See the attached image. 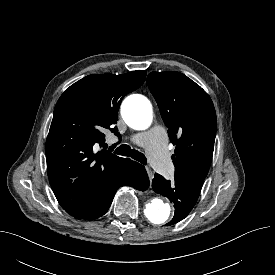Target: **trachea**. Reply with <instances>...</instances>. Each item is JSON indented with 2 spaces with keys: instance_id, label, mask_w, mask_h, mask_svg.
I'll return each instance as SVG.
<instances>
[{
  "instance_id": "1",
  "label": "trachea",
  "mask_w": 275,
  "mask_h": 275,
  "mask_svg": "<svg viewBox=\"0 0 275 275\" xmlns=\"http://www.w3.org/2000/svg\"><path fill=\"white\" fill-rule=\"evenodd\" d=\"M115 154L122 155V156H128L133 158L134 160L146 165L147 164V159L145 155L135 149H131L130 146L128 145H121L119 146L115 151Z\"/></svg>"
}]
</instances>
